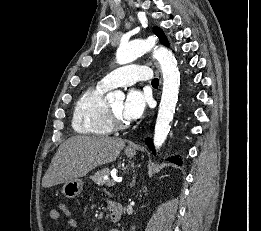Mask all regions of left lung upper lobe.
<instances>
[{
    "label": "left lung upper lobe",
    "mask_w": 261,
    "mask_h": 231,
    "mask_svg": "<svg viewBox=\"0 0 261 231\" xmlns=\"http://www.w3.org/2000/svg\"><path fill=\"white\" fill-rule=\"evenodd\" d=\"M154 33L159 37L160 41H161L164 45L168 46L167 38L165 37L163 31H162L160 28L154 27Z\"/></svg>",
    "instance_id": "1"
}]
</instances>
